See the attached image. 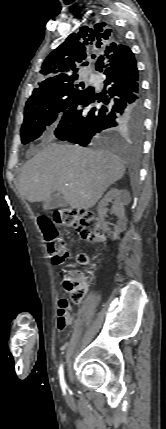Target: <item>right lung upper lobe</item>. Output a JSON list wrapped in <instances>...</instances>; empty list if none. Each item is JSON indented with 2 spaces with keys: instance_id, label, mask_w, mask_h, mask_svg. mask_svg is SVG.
Masks as SVG:
<instances>
[{
  "instance_id": "obj_1",
  "label": "right lung upper lobe",
  "mask_w": 166,
  "mask_h": 429,
  "mask_svg": "<svg viewBox=\"0 0 166 429\" xmlns=\"http://www.w3.org/2000/svg\"><path fill=\"white\" fill-rule=\"evenodd\" d=\"M123 45L115 33L102 27L83 26L78 33L70 34L66 40L44 60L40 73L43 81L34 92L44 90L68 77L78 75L81 65H86L90 56L97 60L104 54H112Z\"/></svg>"
}]
</instances>
